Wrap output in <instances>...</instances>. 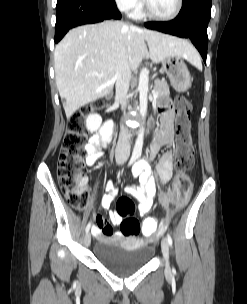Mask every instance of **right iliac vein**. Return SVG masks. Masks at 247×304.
Wrapping results in <instances>:
<instances>
[{
  "label": "right iliac vein",
  "instance_id": "obj_1",
  "mask_svg": "<svg viewBox=\"0 0 247 304\" xmlns=\"http://www.w3.org/2000/svg\"><path fill=\"white\" fill-rule=\"evenodd\" d=\"M90 243H91V235L89 232H87L84 236V244H85V246L88 247L90 245Z\"/></svg>",
  "mask_w": 247,
  "mask_h": 304
}]
</instances>
